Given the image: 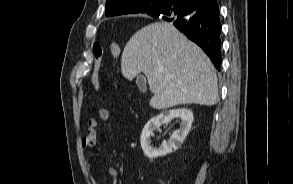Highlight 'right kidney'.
Masks as SVG:
<instances>
[{
	"label": "right kidney",
	"instance_id": "right-kidney-1",
	"mask_svg": "<svg viewBox=\"0 0 293 184\" xmlns=\"http://www.w3.org/2000/svg\"><path fill=\"white\" fill-rule=\"evenodd\" d=\"M174 118L181 119L180 128L172 133L168 142H163L159 148H153L150 140L153 131L162 124L169 123ZM192 122L193 113L186 108L163 111L159 115L153 117L144 126L141 134L140 142L144 154L149 159H154L176 151L188 135Z\"/></svg>",
	"mask_w": 293,
	"mask_h": 184
}]
</instances>
